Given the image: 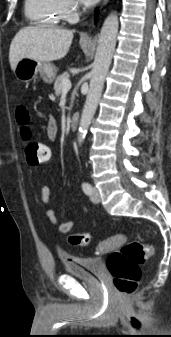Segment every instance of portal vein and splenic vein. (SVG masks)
<instances>
[{
    "label": "portal vein and splenic vein",
    "mask_w": 171,
    "mask_h": 337,
    "mask_svg": "<svg viewBox=\"0 0 171 337\" xmlns=\"http://www.w3.org/2000/svg\"><path fill=\"white\" fill-rule=\"evenodd\" d=\"M70 89H71V82H70V80L68 78L64 79L62 81V91L67 92Z\"/></svg>",
    "instance_id": "1"
}]
</instances>
